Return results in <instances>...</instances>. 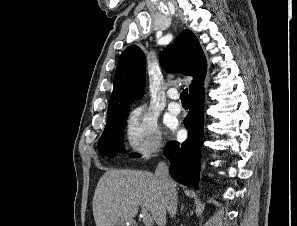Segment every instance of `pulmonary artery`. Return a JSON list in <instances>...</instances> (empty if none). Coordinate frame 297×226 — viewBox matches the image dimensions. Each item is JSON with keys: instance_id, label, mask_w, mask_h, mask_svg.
Segmentation results:
<instances>
[{"instance_id": "e3ab8cb5", "label": "pulmonary artery", "mask_w": 297, "mask_h": 226, "mask_svg": "<svg viewBox=\"0 0 297 226\" xmlns=\"http://www.w3.org/2000/svg\"><path fill=\"white\" fill-rule=\"evenodd\" d=\"M169 98L172 100L168 104V111L172 114H179L181 112V105L176 102V99L178 98V93L176 90H170L168 93Z\"/></svg>"}]
</instances>
